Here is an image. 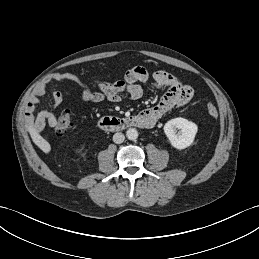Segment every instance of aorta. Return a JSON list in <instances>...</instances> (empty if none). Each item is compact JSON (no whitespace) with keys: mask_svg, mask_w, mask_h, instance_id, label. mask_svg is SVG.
I'll return each mask as SVG.
<instances>
[{"mask_svg":"<svg viewBox=\"0 0 259 259\" xmlns=\"http://www.w3.org/2000/svg\"><path fill=\"white\" fill-rule=\"evenodd\" d=\"M126 137L129 140H136L138 138V131L135 128H129L126 131Z\"/></svg>","mask_w":259,"mask_h":259,"instance_id":"762f6f07","label":"aorta"}]
</instances>
